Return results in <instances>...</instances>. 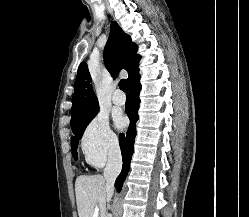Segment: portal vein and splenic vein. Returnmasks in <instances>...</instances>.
Listing matches in <instances>:
<instances>
[{
    "label": "portal vein and splenic vein",
    "instance_id": "18ae733b",
    "mask_svg": "<svg viewBox=\"0 0 249 217\" xmlns=\"http://www.w3.org/2000/svg\"><path fill=\"white\" fill-rule=\"evenodd\" d=\"M98 212H99V208L96 207L94 210V216L93 217H98Z\"/></svg>",
    "mask_w": 249,
    "mask_h": 217
}]
</instances>
